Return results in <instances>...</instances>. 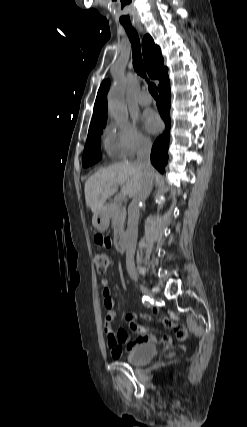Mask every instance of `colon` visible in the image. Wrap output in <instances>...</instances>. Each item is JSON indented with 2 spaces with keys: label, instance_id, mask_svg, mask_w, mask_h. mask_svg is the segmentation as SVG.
<instances>
[{
  "label": "colon",
  "instance_id": "1",
  "mask_svg": "<svg viewBox=\"0 0 247 427\" xmlns=\"http://www.w3.org/2000/svg\"><path fill=\"white\" fill-rule=\"evenodd\" d=\"M93 261L97 271L100 273H104L110 265V257L105 252H97L93 257Z\"/></svg>",
  "mask_w": 247,
  "mask_h": 427
}]
</instances>
